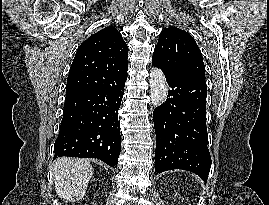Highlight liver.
<instances>
[{"label": "liver", "instance_id": "liver-1", "mask_svg": "<svg viewBox=\"0 0 269 205\" xmlns=\"http://www.w3.org/2000/svg\"><path fill=\"white\" fill-rule=\"evenodd\" d=\"M93 168L88 160L58 158L53 164V177L57 195L71 202L79 201L86 193Z\"/></svg>", "mask_w": 269, "mask_h": 205}]
</instances>
